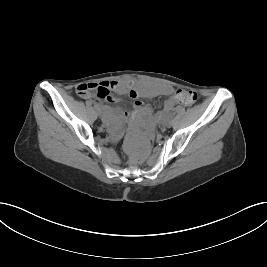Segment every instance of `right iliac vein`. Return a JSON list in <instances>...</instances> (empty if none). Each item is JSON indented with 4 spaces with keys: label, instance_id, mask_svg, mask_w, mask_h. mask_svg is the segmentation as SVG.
I'll list each match as a JSON object with an SVG mask.
<instances>
[{
    "label": "right iliac vein",
    "instance_id": "1",
    "mask_svg": "<svg viewBox=\"0 0 267 267\" xmlns=\"http://www.w3.org/2000/svg\"><path fill=\"white\" fill-rule=\"evenodd\" d=\"M97 114H98V115H101V111H100V110H98V111H97Z\"/></svg>",
    "mask_w": 267,
    "mask_h": 267
}]
</instances>
